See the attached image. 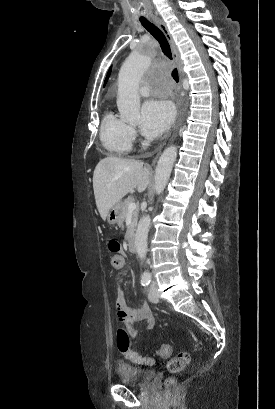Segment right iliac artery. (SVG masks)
<instances>
[{
  "instance_id": "obj_1",
  "label": "right iliac artery",
  "mask_w": 275,
  "mask_h": 409,
  "mask_svg": "<svg viewBox=\"0 0 275 409\" xmlns=\"http://www.w3.org/2000/svg\"><path fill=\"white\" fill-rule=\"evenodd\" d=\"M149 283H150V277L149 276L142 277V279H141V285L142 286H144V287L148 286Z\"/></svg>"
}]
</instances>
